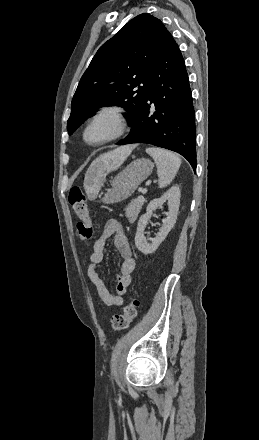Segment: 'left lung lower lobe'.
<instances>
[{"label": "left lung lower lobe", "instance_id": "0a47b994", "mask_svg": "<svg viewBox=\"0 0 259 440\" xmlns=\"http://www.w3.org/2000/svg\"><path fill=\"white\" fill-rule=\"evenodd\" d=\"M153 104V105H152ZM155 112L150 115V108ZM118 145L148 143L175 151L196 169L195 120L184 59L171 34L152 73L143 108Z\"/></svg>", "mask_w": 259, "mask_h": 440}]
</instances>
